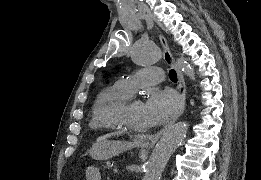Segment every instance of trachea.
Returning a JSON list of instances; mask_svg holds the SVG:
<instances>
[{
    "instance_id": "3493384b",
    "label": "trachea",
    "mask_w": 261,
    "mask_h": 180,
    "mask_svg": "<svg viewBox=\"0 0 261 180\" xmlns=\"http://www.w3.org/2000/svg\"><path fill=\"white\" fill-rule=\"evenodd\" d=\"M169 78L172 82H177V74L175 70L173 69L169 70Z\"/></svg>"
}]
</instances>
